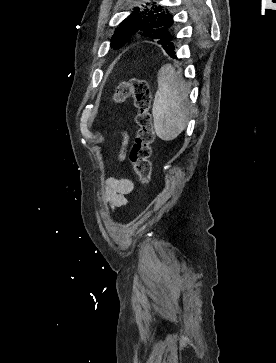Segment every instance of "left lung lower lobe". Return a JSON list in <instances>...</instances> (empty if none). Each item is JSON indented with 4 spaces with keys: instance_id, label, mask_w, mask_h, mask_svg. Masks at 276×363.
I'll use <instances>...</instances> for the list:
<instances>
[{
    "instance_id": "0a47b994",
    "label": "left lung lower lobe",
    "mask_w": 276,
    "mask_h": 363,
    "mask_svg": "<svg viewBox=\"0 0 276 363\" xmlns=\"http://www.w3.org/2000/svg\"><path fill=\"white\" fill-rule=\"evenodd\" d=\"M175 45H169L168 47H166L165 51L167 52V54L170 56V57H175Z\"/></svg>"
}]
</instances>
